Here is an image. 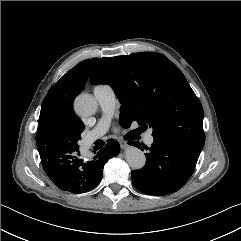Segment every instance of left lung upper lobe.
<instances>
[{
    "instance_id": "1",
    "label": "left lung upper lobe",
    "mask_w": 241,
    "mask_h": 241,
    "mask_svg": "<svg viewBox=\"0 0 241 241\" xmlns=\"http://www.w3.org/2000/svg\"><path fill=\"white\" fill-rule=\"evenodd\" d=\"M92 84H108L118 95L120 123L136 120L151 127L153 137H168L202 149L203 108L182 72L165 56L143 52L104 57L90 76Z\"/></svg>"
}]
</instances>
